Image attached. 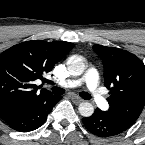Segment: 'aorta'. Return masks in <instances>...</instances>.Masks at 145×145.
Here are the masks:
<instances>
[{"instance_id": "762f6f07", "label": "aorta", "mask_w": 145, "mask_h": 145, "mask_svg": "<svg viewBox=\"0 0 145 145\" xmlns=\"http://www.w3.org/2000/svg\"><path fill=\"white\" fill-rule=\"evenodd\" d=\"M67 65L70 74L74 76L81 75L85 70L83 59L77 55L71 56L67 61ZM78 110L83 117H90L94 113L93 105L87 101L80 103Z\"/></svg>"}]
</instances>
